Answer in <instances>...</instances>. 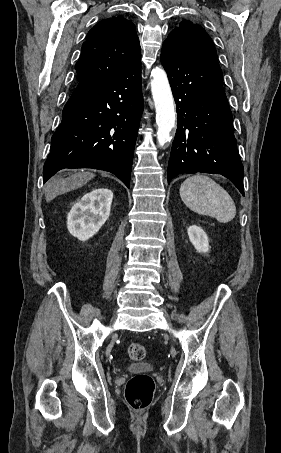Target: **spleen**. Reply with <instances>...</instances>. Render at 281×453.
Wrapping results in <instances>:
<instances>
[{
  "label": "spleen",
  "mask_w": 281,
  "mask_h": 453,
  "mask_svg": "<svg viewBox=\"0 0 281 453\" xmlns=\"http://www.w3.org/2000/svg\"><path fill=\"white\" fill-rule=\"evenodd\" d=\"M180 196L194 212L209 214L219 222H229L236 214V206L230 194L205 174L189 176L180 186Z\"/></svg>",
  "instance_id": "1"
}]
</instances>
